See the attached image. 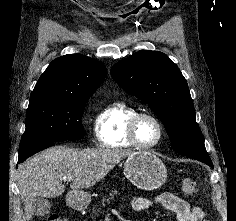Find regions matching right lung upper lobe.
Listing matches in <instances>:
<instances>
[{"label":"right lung upper lobe","mask_w":236,"mask_h":221,"mask_svg":"<svg viewBox=\"0 0 236 221\" xmlns=\"http://www.w3.org/2000/svg\"><path fill=\"white\" fill-rule=\"evenodd\" d=\"M106 72L101 62L81 54L58 57L40 76L30 98L89 99Z\"/></svg>","instance_id":"right-lung-upper-lobe-1"}]
</instances>
